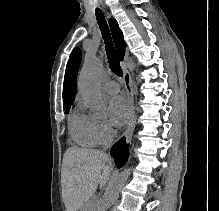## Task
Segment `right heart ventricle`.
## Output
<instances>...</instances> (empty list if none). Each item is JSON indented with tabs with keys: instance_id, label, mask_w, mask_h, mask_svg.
Masks as SVG:
<instances>
[{
	"instance_id": "right-heart-ventricle-1",
	"label": "right heart ventricle",
	"mask_w": 219,
	"mask_h": 211,
	"mask_svg": "<svg viewBox=\"0 0 219 211\" xmlns=\"http://www.w3.org/2000/svg\"><path fill=\"white\" fill-rule=\"evenodd\" d=\"M93 116H89L80 110H75L70 120L72 137L81 145L93 147L99 144Z\"/></svg>"
}]
</instances>
